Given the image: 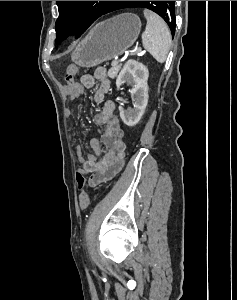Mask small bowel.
Masks as SVG:
<instances>
[{
  "label": "small bowel",
  "instance_id": "small-bowel-1",
  "mask_svg": "<svg viewBox=\"0 0 237 300\" xmlns=\"http://www.w3.org/2000/svg\"><path fill=\"white\" fill-rule=\"evenodd\" d=\"M81 85L74 88L71 85L63 87V93L70 100L77 99L83 88H91L98 85L93 100L96 104L102 105L99 113L94 115L96 123L105 127L102 141L97 138L90 140L93 153L83 155L81 146L76 147V154L82 165L79 169L83 174H89V185L96 186L113 179L123 168L125 158V130L118 117L115 115V103L106 99L111 82L107 77V69L98 67L93 73L84 74L81 77ZM70 116V111H67ZM88 206V199L80 200L82 210Z\"/></svg>",
  "mask_w": 237,
  "mask_h": 300
}]
</instances>
